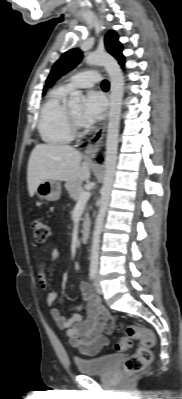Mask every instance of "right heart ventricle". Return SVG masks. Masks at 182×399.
<instances>
[{
	"mask_svg": "<svg viewBox=\"0 0 182 399\" xmlns=\"http://www.w3.org/2000/svg\"><path fill=\"white\" fill-rule=\"evenodd\" d=\"M68 92L63 87L56 88L42 105L38 130L42 140L49 144H65L73 139L65 104Z\"/></svg>",
	"mask_w": 182,
	"mask_h": 399,
	"instance_id": "e07e8e85",
	"label": "right heart ventricle"
}]
</instances>
